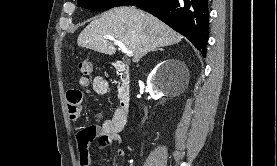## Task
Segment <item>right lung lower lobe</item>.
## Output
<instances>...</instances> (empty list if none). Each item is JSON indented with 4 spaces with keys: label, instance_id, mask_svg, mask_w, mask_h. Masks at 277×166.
I'll return each mask as SVG.
<instances>
[{
    "label": "right lung lower lobe",
    "instance_id": "1",
    "mask_svg": "<svg viewBox=\"0 0 277 166\" xmlns=\"http://www.w3.org/2000/svg\"><path fill=\"white\" fill-rule=\"evenodd\" d=\"M145 10L185 36L206 56L209 30L208 0H125Z\"/></svg>",
    "mask_w": 277,
    "mask_h": 166
}]
</instances>
